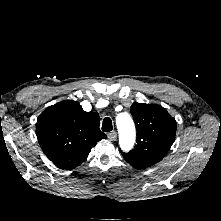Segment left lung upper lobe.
I'll return each mask as SVG.
<instances>
[{"label": "left lung upper lobe", "mask_w": 221, "mask_h": 221, "mask_svg": "<svg viewBox=\"0 0 221 221\" xmlns=\"http://www.w3.org/2000/svg\"><path fill=\"white\" fill-rule=\"evenodd\" d=\"M130 112L137 129V145L128 153L121 151L133 167L142 169L161 161L169 151L176 133V121L162 106L133 103Z\"/></svg>", "instance_id": "1"}]
</instances>
